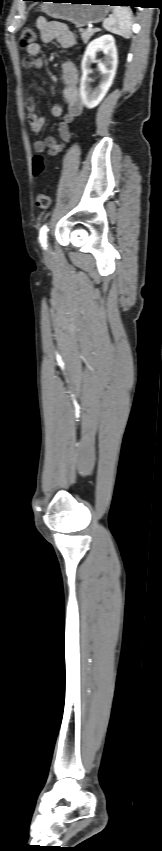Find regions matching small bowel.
I'll use <instances>...</instances> for the list:
<instances>
[{"label": "small bowel", "mask_w": 162, "mask_h": 851, "mask_svg": "<svg viewBox=\"0 0 162 851\" xmlns=\"http://www.w3.org/2000/svg\"><path fill=\"white\" fill-rule=\"evenodd\" d=\"M37 27L40 30L43 43L56 41L63 48H71L75 44L73 33L61 22L48 21L41 17L37 20ZM40 52L41 45L39 43L28 47L27 53L33 58H25L23 62L24 67L42 68L45 65V60L39 56ZM62 80L64 84L62 96L66 103V111H64L60 104H54L51 108V114L54 117L61 118L58 124L60 141L54 136H48L34 142L36 152L46 151L50 156H56L61 153L69 143L74 122L83 111V103L80 100L78 91V71L72 62H65L62 65ZM26 108L30 129L34 134L39 135L44 127V117L37 113L36 102L32 97L27 98Z\"/></svg>", "instance_id": "1"}]
</instances>
